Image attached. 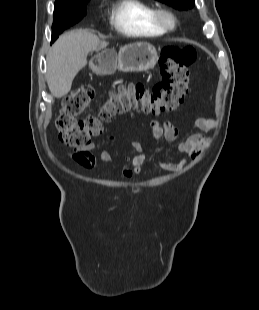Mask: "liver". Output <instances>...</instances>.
<instances>
[{
	"instance_id": "liver-1",
	"label": "liver",
	"mask_w": 259,
	"mask_h": 310,
	"mask_svg": "<svg viewBox=\"0 0 259 310\" xmlns=\"http://www.w3.org/2000/svg\"><path fill=\"white\" fill-rule=\"evenodd\" d=\"M107 45L86 29L61 35L47 55V83L51 94L56 98L67 95L73 79L86 66L88 53Z\"/></svg>"
}]
</instances>
